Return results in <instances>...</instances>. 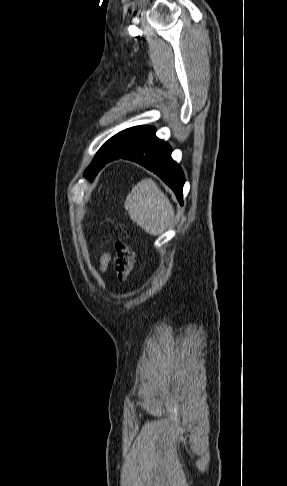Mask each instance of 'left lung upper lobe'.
<instances>
[{"instance_id": "1", "label": "left lung upper lobe", "mask_w": 287, "mask_h": 486, "mask_svg": "<svg viewBox=\"0 0 287 486\" xmlns=\"http://www.w3.org/2000/svg\"><path fill=\"white\" fill-rule=\"evenodd\" d=\"M155 131L151 126H136L119 132L99 149L92 163L84 171V177L92 181L105 161L141 148Z\"/></svg>"}]
</instances>
